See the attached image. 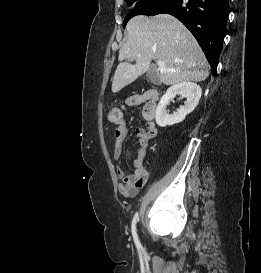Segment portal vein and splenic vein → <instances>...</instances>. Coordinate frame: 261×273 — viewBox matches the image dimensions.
Listing matches in <instances>:
<instances>
[{
    "mask_svg": "<svg viewBox=\"0 0 261 273\" xmlns=\"http://www.w3.org/2000/svg\"><path fill=\"white\" fill-rule=\"evenodd\" d=\"M157 65H158V68L160 69V70H164V71H174L173 69H169V68H165L164 67V62H162V61H157Z\"/></svg>",
    "mask_w": 261,
    "mask_h": 273,
    "instance_id": "18ae733b",
    "label": "portal vein and splenic vein"
}]
</instances>
